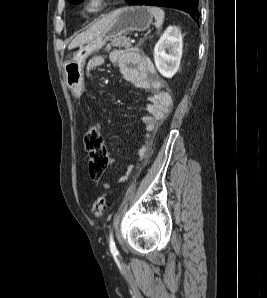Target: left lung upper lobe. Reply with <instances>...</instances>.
Wrapping results in <instances>:
<instances>
[{
	"mask_svg": "<svg viewBox=\"0 0 267 298\" xmlns=\"http://www.w3.org/2000/svg\"><path fill=\"white\" fill-rule=\"evenodd\" d=\"M83 0H69V2L75 4V3H81ZM127 1V0H126Z\"/></svg>",
	"mask_w": 267,
	"mask_h": 298,
	"instance_id": "left-lung-upper-lobe-1",
	"label": "left lung upper lobe"
}]
</instances>
